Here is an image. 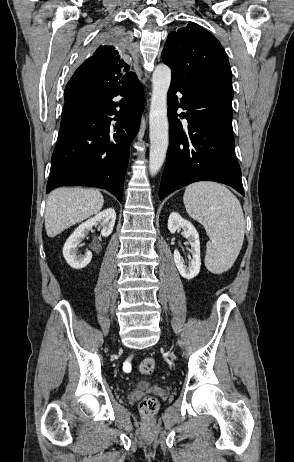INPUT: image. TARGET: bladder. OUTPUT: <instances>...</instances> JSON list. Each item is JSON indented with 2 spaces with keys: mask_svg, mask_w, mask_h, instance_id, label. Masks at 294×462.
Segmentation results:
<instances>
[{
  "mask_svg": "<svg viewBox=\"0 0 294 462\" xmlns=\"http://www.w3.org/2000/svg\"><path fill=\"white\" fill-rule=\"evenodd\" d=\"M146 387H148V384H145V383H140V384L137 385L138 389H144Z\"/></svg>",
  "mask_w": 294,
  "mask_h": 462,
  "instance_id": "obj_1",
  "label": "bladder"
}]
</instances>
